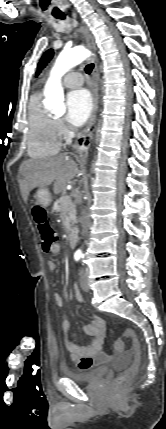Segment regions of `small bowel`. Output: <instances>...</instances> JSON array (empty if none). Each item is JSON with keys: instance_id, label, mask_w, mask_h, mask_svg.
<instances>
[{"instance_id": "small-bowel-1", "label": "small bowel", "mask_w": 166, "mask_h": 429, "mask_svg": "<svg viewBox=\"0 0 166 429\" xmlns=\"http://www.w3.org/2000/svg\"><path fill=\"white\" fill-rule=\"evenodd\" d=\"M52 254H57L60 252L59 244H54L48 251ZM48 268L51 271L56 269V263L53 260L48 261ZM76 298L83 302V297L77 287L74 288ZM55 303L61 307L63 305V298L60 294H55L54 296ZM62 332L64 345L68 352V356L71 361H73L76 366L81 370H88L93 367L99 366L110 359V355L102 349L104 340H105V322L98 316H94L93 319L84 326V332L93 336L94 339L88 345H77L75 344L69 336L70 331V322L68 320L62 321ZM130 352H127L129 355Z\"/></svg>"}]
</instances>
